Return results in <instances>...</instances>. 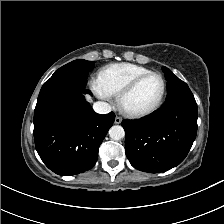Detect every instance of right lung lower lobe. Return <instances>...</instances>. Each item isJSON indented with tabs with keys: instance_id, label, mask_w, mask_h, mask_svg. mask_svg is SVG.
Returning a JSON list of instances; mask_svg holds the SVG:
<instances>
[{
	"instance_id": "obj_1",
	"label": "right lung lower lobe",
	"mask_w": 224,
	"mask_h": 224,
	"mask_svg": "<svg viewBox=\"0 0 224 224\" xmlns=\"http://www.w3.org/2000/svg\"><path fill=\"white\" fill-rule=\"evenodd\" d=\"M85 85L69 79H48L34 111L36 150L45 165L62 176L91 169L98 149L115 120L110 112H94L84 95Z\"/></svg>"
}]
</instances>
